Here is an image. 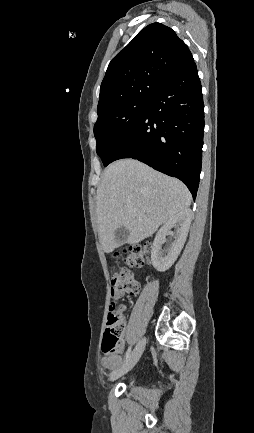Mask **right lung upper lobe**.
Here are the masks:
<instances>
[{
    "mask_svg": "<svg viewBox=\"0 0 254 433\" xmlns=\"http://www.w3.org/2000/svg\"><path fill=\"white\" fill-rule=\"evenodd\" d=\"M193 61L174 30L152 23L110 62L101 83L97 111L129 99H152L160 87Z\"/></svg>",
    "mask_w": 254,
    "mask_h": 433,
    "instance_id": "cb5924a9",
    "label": "right lung upper lobe"
}]
</instances>
